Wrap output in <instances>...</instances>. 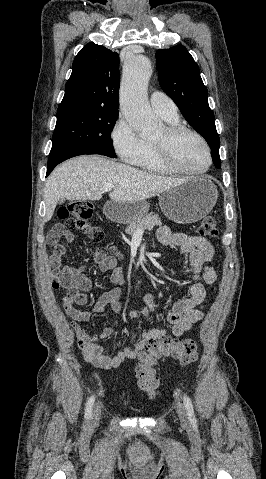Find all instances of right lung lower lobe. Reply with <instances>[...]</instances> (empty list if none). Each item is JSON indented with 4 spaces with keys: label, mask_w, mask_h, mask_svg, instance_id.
<instances>
[{
    "label": "right lung lower lobe",
    "mask_w": 266,
    "mask_h": 479,
    "mask_svg": "<svg viewBox=\"0 0 266 479\" xmlns=\"http://www.w3.org/2000/svg\"><path fill=\"white\" fill-rule=\"evenodd\" d=\"M83 155L80 152H76L73 150L68 149H53L50 151L49 159H48V168L46 176H48L51 171L55 168L56 165L59 163L72 158L74 156Z\"/></svg>",
    "instance_id": "obj_1"
}]
</instances>
